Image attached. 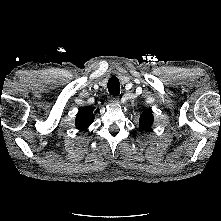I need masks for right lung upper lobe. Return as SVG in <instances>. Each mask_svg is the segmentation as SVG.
<instances>
[{
	"label": "right lung upper lobe",
	"instance_id": "obj_1",
	"mask_svg": "<svg viewBox=\"0 0 221 221\" xmlns=\"http://www.w3.org/2000/svg\"><path fill=\"white\" fill-rule=\"evenodd\" d=\"M94 121V114L87 109L81 110L75 119V126L79 130L87 129Z\"/></svg>",
	"mask_w": 221,
	"mask_h": 221
}]
</instances>
